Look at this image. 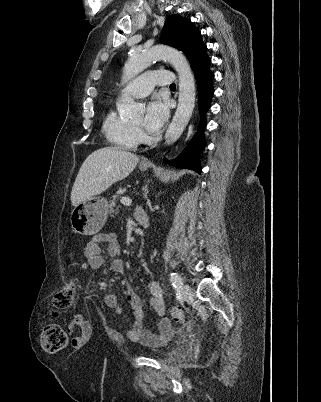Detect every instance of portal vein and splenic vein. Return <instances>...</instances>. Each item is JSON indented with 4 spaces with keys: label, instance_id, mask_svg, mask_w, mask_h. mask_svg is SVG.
Listing matches in <instances>:
<instances>
[{
    "label": "portal vein and splenic vein",
    "instance_id": "portal-vein-and-splenic-vein-1",
    "mask_svg": "<svg viewBox=\"0 0 321 402\" xmlns=\"http://www.w3.org/2000/svg\"><path fill=\"white\" fill-rule=\"evenodd\" d=\"M121 203L122 204H126V205H130L132 203V200L128 197H122L121 198Z\"/></svg>",
    "mask_w": 321,
    "mask_h": 402
}]
</instances>
